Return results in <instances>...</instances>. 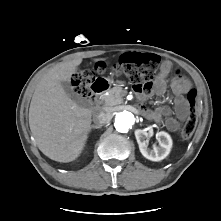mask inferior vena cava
<instances>
[{
  "label": "inferior vena cava",
  "mask_w": 221,
  "mask_h": 221,
  "mask_svg": "<svg viewBox=\"0 0 221 221\" xmlns=\"http://www.w3.org/2000/svg\"><path fill=\"white\" fill-rule=\"evenodd\" d=\"M111 118V113L106 109L97 111L93 114V122L99 127L108 123L111 120Z\"/></svg>",
  "instance_id": "obj_1"
}]
</instances>
